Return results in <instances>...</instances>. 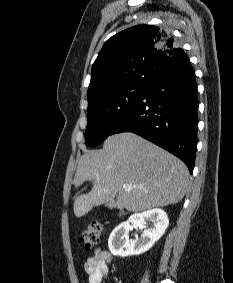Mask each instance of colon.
<instances>
[{"label":"colon","mask_w":233,"mask_h":283,"mask_svg":"<svg viewBox=\"0 0 233 283\" xmlns=\"http://www.w3.org/2000/svg\"><path fill=\"white\" fill-rule=\"evenodd\" d=\"M102 232V225L98 220H92L81 232L79 242L86 248H90L98 243Z\"/></svg>","instance_id":"1"}]
</instances>
